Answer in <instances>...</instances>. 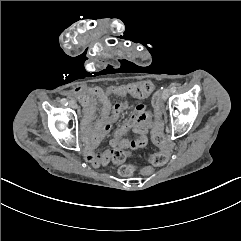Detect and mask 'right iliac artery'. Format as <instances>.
Segmentation results:
<instances>
[{"mask_svg":"<svg viewBox=\"0 0 241 241\" xmlns=\"http://www.w3.org/2000/svg\"><path fill=\"white\" fill-rule=\"evenodd\" d=\"M61 103L64 104V105H67L68 102H67L66 99H62V100H61Z\"/></svg>","mask_w":241,"mask_h":241,"instance_id":"right-iliac-artery-1","label":"right iliac artery"}]
</instances>
